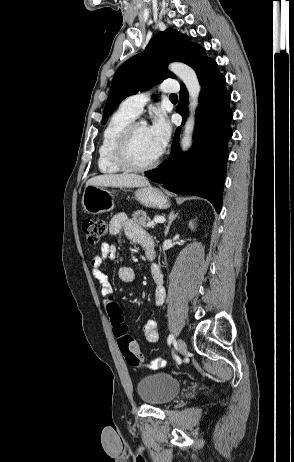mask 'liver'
<instances>
[{
	"label": "liver",
	"mask_w": 294,
	"mask_h": 462,
	"mask_svg": "<svg viewBox=\"0 0 294 462\" xmlns=\"http://www.w3.org/2000/svg\"><path fill=\"white\" fill-rule=\"evenodd\" d=\"M89 185L108 187H143L148 186L146 177L136 174H104L92 177L86 182Z\"/></svg>",
	"instance_id": "6515ba94"
}]
</instances>
